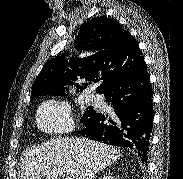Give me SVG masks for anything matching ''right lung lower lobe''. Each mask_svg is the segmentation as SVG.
Listing matches in <instances>:
<instances>
[{"instance_id":"1","label":"right lung lower lobe","mask_w":183,"mask_h":179,"mask_svg":"<svg viewBox=\"0 0 183 179\" xmlns=\"http://www.w3.org/2000/svg\"><path fill=\"white\" fill-rule=\"evenodd\" d=\"M100 93L106 96L114 115L95 112L82 122L78 133L102 143L133 149L146 162L153 124V93L145 62L136 72L108 85Z\"/></svg>"}]
</instances>
